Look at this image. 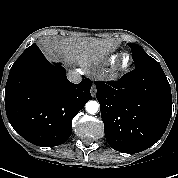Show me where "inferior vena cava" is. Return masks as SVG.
<instances>
[{"mask_svg": "<svg viewBox=\"0 0 178 178\" xmlns=\"http://www.w3.org/2000/svg\"><path fill=\"white\" fill-rule=\"evenodd\" d=\"M68 79L73 83H80L82 80V77L76 72H69Z\"/></svg>", "mask_w": 178, "mask_h": 178, "instance_id": "602c4592", "label": "inferior vena cava"}]
</instances>
